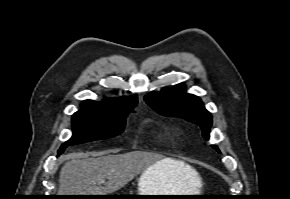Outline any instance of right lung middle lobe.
Returning a JSON list of instances; mask_svg holds the SVG:
<instances>
[{"label":"right lung middle lobe","instance_id":"dd1d6c3e","mask_svg":"<svg viewBox=\"0 0 290 199\" xmlns=\"http://www.w3.org/2000/svg\"><path fill=\"white\" fill-rule=\"evenodd\" d=\"M127 113L116 115H98L76 112L72 116L73 135L58 150V155L64 152L67 145L82 144L92 140L115 137L125 128Z\"/></svg>","mask_w":290,"mask_h":199}]
</instances>
